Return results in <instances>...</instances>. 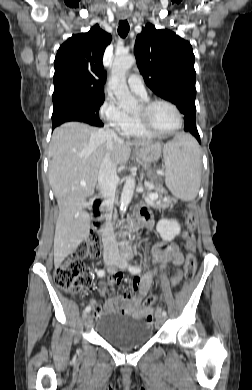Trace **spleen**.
Listing matches in <instances>:
<instances>
[{"label": "spleen", "mask_w": 252, "mask_h": 390, "mask_svg": "<svg viewBox=\"0 0 252 390\" xmlns=\"http://www.w3.org/2000/svg\"><path fill=\"white\" fill-rule=\"evenodd\" d=\"M165 183L171 193L183 200L196 198L201 181L200 150L193 138L179 134L163 150Z\"/></svg>", "instance_id": "3e777b00"}]
</instances>
